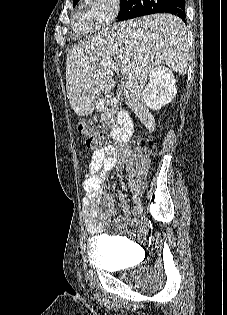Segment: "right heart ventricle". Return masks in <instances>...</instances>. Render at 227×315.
Returning <instances> with one entry per match:
<instances>
[{
  "instance_id": "e07e8e85",
  "label": "right heart ventricle",
  "mask_w": 227,
  "mask_h": 315,
  "mask_svg": "<svg viewBox=\"0 0 227 315\" xmlns=\"http://www.w3.org/2000/svg\"><path fill=\"white\" fill-rule=\"evenodd\" d=\"M93 21L89 10L80 7L73 15L74 30L80 35H86L93 31Z\"/></svg>"
}]
</instances>
